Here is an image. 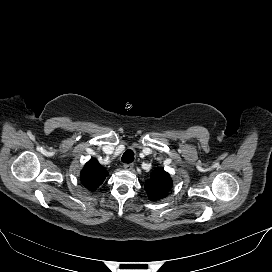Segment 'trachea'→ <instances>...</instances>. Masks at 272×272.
<instances>
[{
	"label": "trachea",
	"instance_id": "trachea-1",
	"mask_svg": "<svg viewBox=\"0 0 272 272\" xmlns=\"http://www.w3.org/2000/svg\"><path fill=\"white\" fill-rule=\"evenodd\" d=\"M134 161V152L132 150H127L124 152L122 156V162L124 163H131Z\"/></svg>",
	"mask_w": 272,
	"mask_h": 272
}]
</instances>
